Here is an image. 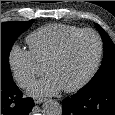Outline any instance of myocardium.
Here are the masks:
<instances>
[{
	"mask_svg": "<svg viewBox=\"0 0 115 115\" xmlns=\"http://www.w3.org/2000/svg\"><path fill=\"white\" fill-rule=\"evenodd\" d=\"M85 34H91L96 38L97 43H98L97 57H96V60L94 62L92 69L90 70V72L80 82H78L77 84H75L73 86L63 88L64 91H66L68 93L77 92V91L81 90L97 74V72L100 68L102 58H103V53H104V45H103V41H102V38L99 35V33L93 29H82V30L70 35L60 44V46L56 49V51L45 62V68H46L48 65L61 59L63 57V55L66 53L69 46L72 44V42L74 40H76L78 37L85 35Z\"/></svg>",
	"mask_w": 115,
	"mask_h": 115,
	"instance_id": "1",
	"label": "myocardium"
}]
</instances>
